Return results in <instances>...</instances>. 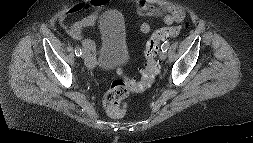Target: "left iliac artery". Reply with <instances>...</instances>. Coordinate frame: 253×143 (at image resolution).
Returning a JSON list of instances; mask_svg holds the SVG:
<instances>
[{
  "label": "left iliac artery",
  "instance_id": "1",
  "mask_svg": "<svg viewBox=\"0 0 253 143\" xmlns=\"http://www.w3.org/2000/svg\"><path fill=\"white\" fill-rule=\"evenodd\" d=\"M169 48V42L168 41H165L162 46H161V49L162 51L166 52Z\"/></svg>",
  "mask_w": 253,
  "mask_h": 143
}]
</instances>
